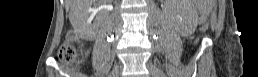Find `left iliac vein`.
Listing matches in <instances>:
<instances>
[{
  "label": "left iliac vein",
  "instance_id": "left-iliac-vein-1",
  "mask_svg": "<svg viewBox=\"0 0 258 77\" xmlns=\"http://www.w3.org/2000/svg\"><path fill=\"white\" fill-rule=\"evenodd\" d=\"M147 68L152 76H155V77H163L164 76L163 71L150 62L147 63Z\"/></svg>",
  "mask_w": 258,
  "mask_h": 77
}]
</instances>
